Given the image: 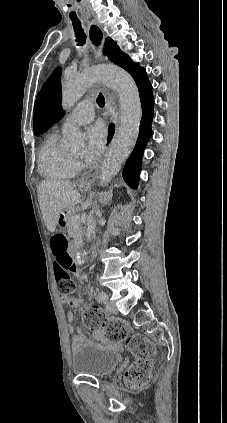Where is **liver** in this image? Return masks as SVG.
<instances>
[{
  "instance_id": "obj_1",
  "label": "liver",
  "mask_w": 227,
  "mask_h": 423,
  "mask_svg": "<svg viewBox=\"0 0 227 423\" xmlns=\"http://www.w3.org/2000/svg\"><path fill=\"white\" fill-rule=\"evenodd\" d=\"M40 210L49 231H55L61 211L74 208L80 202V194L71 184L43 180L37 188Z\"/></svg>"
}]
</instances>
